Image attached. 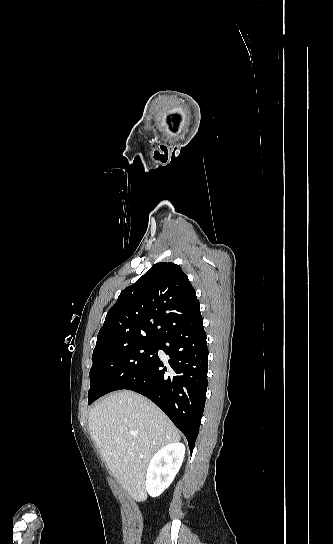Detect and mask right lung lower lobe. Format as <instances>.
<instances>
[{
	"label": "right lung lower lobe",
	"mask_w": 333,
	"mask_h": 544,
	"mask_svg": "<svg viewBox=\"0 0 333 544\" xmlns=\"http://www.w3.org/2000/svg\"><path fill=\"white\" fill-rule=\"evenodd\" d=\"M159 349L169 356L167 362L157 351V356L141 375L122 389L152 400L183 432L192 452L207 391L208 348L202 316L166 332L159 339Z\"/></svg>",
	"instance_id": "obj_1"
}]
</instances>
